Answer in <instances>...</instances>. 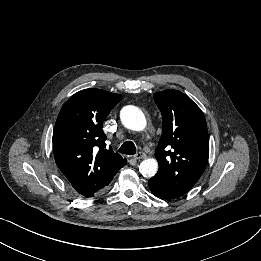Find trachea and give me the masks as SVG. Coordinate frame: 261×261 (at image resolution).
<instances>
[{"label":"trachea","mask_w":261,"mask_h":261,"mask_svg":"<svg viewBox=\"0 0 261 261\" xmlns=\"http://www.w3.org/2000/svg\"><path fill=\"white\" fill-rule=\"evenodd\" d=\"M118 151L123 154L134 155L136 153V147L132 141H126L121 145Z\"/></svg>","instance_id":"1"}]
</instances>
